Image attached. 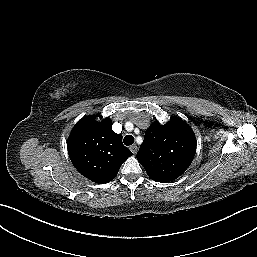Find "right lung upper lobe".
I'll list each match as a JSON object with an SVG mask.
<instances>
[{"instance_id":"right-lung-upper-lobe-1","label":"right lung upper lobe","mask_w":257,"mask_h":257,"mask_svg":"<svg viewBox=\"0 0 257 257\" xmlns=\"http://www.w3.org/2000/svg\"><path fill=\"white\" fill-rule=\"evenodd\" d=\"M95 117H84L74 126L67 147L77 171L104 184L115 178L132 152L122 144V135L113 132L109 118L98 122Z\"/></svg>"}]
</instances>
